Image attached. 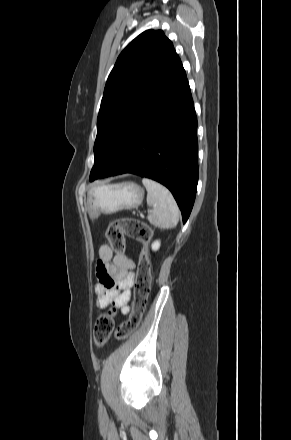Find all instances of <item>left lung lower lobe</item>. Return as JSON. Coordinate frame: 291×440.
Wrapping results in <instances>:
<instances>
[{"instance_id":"obj_1","label":"left lung lower lobe","mask_w":291,"mask_h":440,"mask_svg":"<svg viewBox=\"0 0 291 440\" xmlns=\"http://www.w3.org/2000/svg\"><path fill=\"white\" fill-rule=\"evenodd\" d=\"M197 157V118L181 64L93 180L124 173L156 180L172 192L185 223L196 195Z\"/></svg>"}]
</instances>
